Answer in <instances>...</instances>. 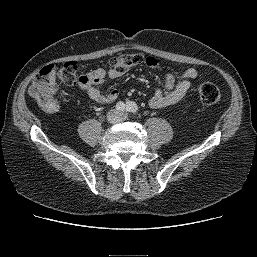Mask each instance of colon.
Returning <instances> with one entry per match:
<instances>
[{
	"mask_svg": "<svg viewBox=\"0 0 257 257\" xmlns=\"http://www.w3.org/2000/svg\"><path fill=\"white\" fill-rule=\"evenodd\" d=\"M144 58L139 53L123 54L110 59L107 67L122 74L127 69L140 65ZM65 85H81L88 81L86 75L78 74V66L75 62L69 61L60 67L48 65L42 68L35 76L32 85L29 87V95L47 112H56L59 109V102L54 96L57 82ZM198 97L203 104L212 105L220 100L219 88L210 82H203L198 87Z\"/></svg>",
	"mask_w": 257,
	"mask_h": 257,
	"instance_id": "1",
	"label": "colon"
}]
</instances>
